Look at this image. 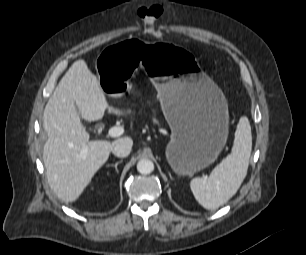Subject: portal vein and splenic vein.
<instances>
[{
    "label": "portal vein and splenic vein",
    "mask_w": 306,
    "mask_h": 255,
    "mask_svg": "<svg viewBox=\"0 0 306 255\" xmlns=\"http://www.w3.org/2000/svg\"><path fill=\"white\" fill-rule=\"evenodd\" d=\"M124 133V128L123 127H119V126H114V127H111L109 130H108V135L112 138L114 137H119L121 136L122 134ZM87 152V148L84 147L81 151V154L84 155L85 153Z\"/></svg>",
    "instance_id": "portal-vein-and-splenic-vein-1"
}]
</instances>
